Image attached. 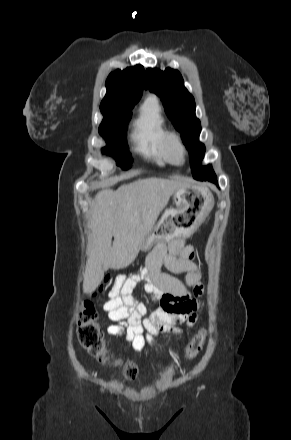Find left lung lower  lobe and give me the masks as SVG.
Returning <instances> with one entry per match:
<instances>
[{
    "instance_id": "0a47b994",
    "label": "left lung lower lobe",
    "mask_w": 291,
    "mask_h": 440,
    "mask_svg": "<svg viewBox=\"0 0 291 440\" xmlns=\"http://www.w3.org/2000/svg\"><path fill=\"white\" fill-rule=\"evenodd\" d=\"M216 179H217V177L213 176V177L206 178L205 180L216 183Z\"/></svg>"
}]
</instances>
